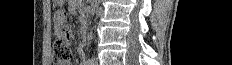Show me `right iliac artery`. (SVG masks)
I'll return each mask as SVG.
<instances>
[{
	"label": "right iliac artery",
	"mask_w": 232,
	"mask_h": 65,
	"mask_svg": "<svg viewBox=\"0 0 232 65\" xmlns=\"http://www.w3.org/2000/svg\"><path fill=\"white\" fill-rule=\"evenodd\" d=\"M87 65H93V61L92 60H88L87 61Z\"/></svg>",
	"instance_id": "1"
}]
</instances>
